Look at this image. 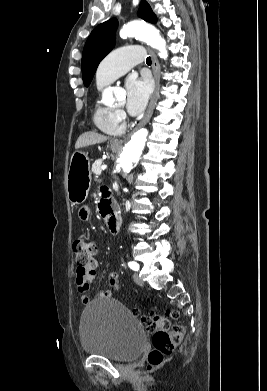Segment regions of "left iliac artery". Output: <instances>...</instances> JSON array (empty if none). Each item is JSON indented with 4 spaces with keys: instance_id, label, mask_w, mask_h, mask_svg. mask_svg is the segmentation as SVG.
I'll list each match as a JSON object with an SVG mask.
<instances>
[{
    "instance_id": "1",
    "label": "left iliac artery",
    "mask_w": 267,
    "mask_h": 391,
    "mask_svg": "<svg viewBox=\"0 0 267 391\" xmlns=\"http://www.w3.org/2000/svg\"><path fill=\"white\" fill-rule=\"evenodd\" d=\"M128 265L134 271H137L139 269V265L136 262H129Z\"/></svg>"
}]
</instances>
